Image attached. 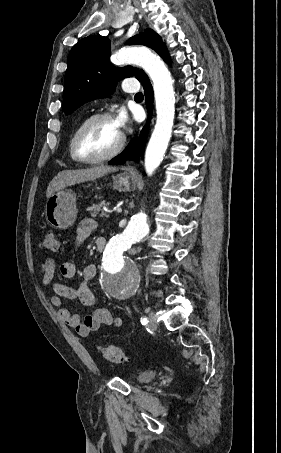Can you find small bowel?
<instances>
[{"instance_id":"obj_1","label":"small bowel","mask_w":281,"mask_h":453,"mask_svg":"<svg viewBox=\"0 0 281 453\" xmlns=\"http://www.w3.org/2000/svg\"><path fill=\"white\" fill-rule=\"evenodd\" d=\"M97 224L92 219L82 220L78 225L77 245L83 244L87 238L96 230ZM103 242L96 244L95 249L98 252L103 251ZM97 267L94 263L87 264L82 271V282L78 288H74L55 281L54 261L52 259L45 260L39 270V281L46 287L53 289L58 296L51 297L53 307L58 309L60 318L73 328L80 337H88L93 332L97 331L102 325L121 326L123 320L120 316L114 315L106 309H97L81 320L80 315L64 306L62 297L70 301H78L84 306H90L94 302V295L89 287V282L94 278ZM60 274L63 278H75L77 269L73 262L67 261L61 264Z\"/></svg>"}]
</instances>
